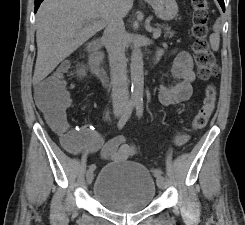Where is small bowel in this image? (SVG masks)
I'll list each match as a JSON object with an SVG mask.
<instances>
[{
    "label": "small bowel",
    "instance_id": "obj_1",
    "mask_svg": "<svg viewBox=\"0 0 245 225\" xmlns=\"http://www.w3.org/2000/svg\"><path fill=\"white\" fill-rule=\"evenodd\" d=\"M173 65L171 68V83L160 87L159 101L164 106L180 104L188 100L192 94V83L195 81V73L193 71V62L189 53L185 51L174 52ZM158 56L163 55L162 50L157 51ZM69 62H63L60 69L67 68ZM40 84L36 86L37 90ZM68 93V107L71 108L72 100ZM38 97V92H37ZM59 124L64 128H71L69 132L71 145L69 150L72 153H92L100 150L101 157L110 162H118L131 159L136 156V151L132 145L125 144V138L116 136L108 141L95 132L89 125L81 127L79 130L74 124L66 123L61 118H58ZM187 140V135L183 131H178L173 138L176 145H183Z\"/></svg>",
    "mask_w": 245,
    "mask_h": 225
}]
</instances>
